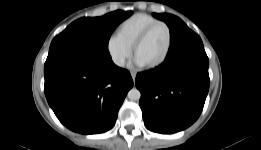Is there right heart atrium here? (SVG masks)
Segmentation results:
<instances>
[{"label": "right heart atrium", "mask_w": 261, "mask_h": 150, "mask_svg": "<svg viewBox=\"0 0 261 150\" xmlns=\"http://www.w3.org/2000/svg\"><path fill=\"white\" fill-rule=\"evenodd\" d=\"M106 51L111 62L116 67L122 68L130 58L132 48L121 41L116 35H110L106 41Z\"/></svg>", "instance_id": "1"}]
</instances>
